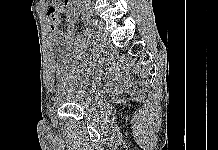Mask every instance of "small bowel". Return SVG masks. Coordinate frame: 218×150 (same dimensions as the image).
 Here are the masks:
<instances>
[{
    "label": "small bowel",
    "instance_id": "1",
    "mask_svg": "<svg viewBox=\"0 0 218 150\" xmlns=\"http://www.w3.org/2000/svg\"><path fill=\"white\" fill-rule=\"evenodd\" d=\"M64 5L71 8V10L67 11L64 8L57 6L55 3H51L47 8V20L50 24L52 36L56 39H61L65 33L60 27V15L62 13L65 14V24L69 28L73 27L76 22L77 15L81 11V4L79 0H64ZM69 15L73 17L71 22L66 20V17Z\"/></svg>",
    "mask_w": 218,
    "mask_h": 150
}]
</instances>
